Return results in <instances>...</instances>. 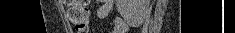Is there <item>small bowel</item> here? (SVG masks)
<instances>
[{"label":"small bowel","mask_w":235,"mask_h":33,"mask_svg":"<svg viewBox=\"0 0 235 33\" xmlns=\"http://www.w3.org/2000/svg\"><path fill=\"white\" fill-rule=\"evenodd\" d=\"M113 9V2L111 0L100 1V6L97 9V16L100 19L107 18ZM128 31V26L125 21L116 17L113 21V27L111 33H126Z\"/></svg>","instance_id":"1"}]
</instances>
